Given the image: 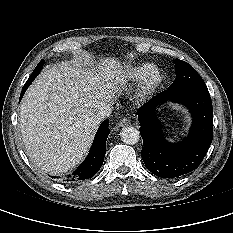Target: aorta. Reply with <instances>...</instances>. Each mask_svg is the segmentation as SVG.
Returning <instances> with one entry per match:
<instances>
[{
  "label": "aorta",
  "instance_id": "762f6f07",
  "mask_svg": "<svg viewBox=\"0 0 233 233\" xmlns=\"http://www.w3.org/2000/svg\"><path fill=\"white\" fill-rule=\"evenodd\" d=\"M120 137L124 143L134 145L140 139V132L132 126H127L121 129Z\"/></svg>",
  "mask_w": 233,
  "mask_h": 233
}]
</instances>
